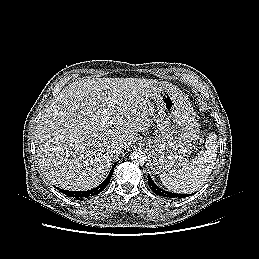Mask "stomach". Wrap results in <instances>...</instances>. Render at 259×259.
<instances>
[{
  "instance_id": "1",
  "label": "stomach",
  "mask_w": 259,
  "mask_h": 259,
  "mask_svg": "<svg viewBox=\"0 0 259 259\" xmlns=\"http://www.w3.org/2000/svg\"><path fill=\"white\" fill-rule=\"evenodd\" d=\"M149 97L156 105L159 135L144 140L143 144L152 158L151 170L169 173L187 161L199 140V123L176 86L158 83L151 88Z\"/></svg>"
}]
</instances>
